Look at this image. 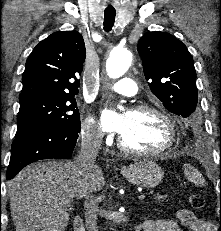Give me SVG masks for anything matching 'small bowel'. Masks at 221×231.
<instances>
[{"instance_id":"c3829d8e","label":"small bowel","mask_w":221,"mask_h":231,"mask_svg":"<svg viewBox=\"0 0 221 231\" xmlns=\"http://www.w3.org/2000/svg\"><path fill=\"white\" fill-rule=\"evenodd\" d=\"M176 217L178 222L190 231H215V226L211 222L198 218L187 209H180ZM136 228L138 231H183L176 223L163 219L145 220Z\"/></svg>"}]
</instances>
